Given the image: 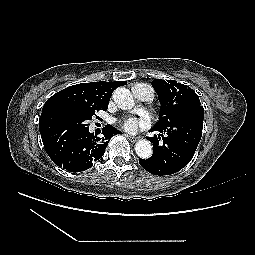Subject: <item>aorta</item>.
<instances>
[{
    "label": "aorta",
    "instance_id": "1",
    "mask_svg": "<svg viewBox=\"0 0 255 255\" xmlns=\"http://www.w3.org/2000/svg\"><path fill=\"white\" fill-rule=\"evenodd\" d=\"M113 99L119 108L129 110L134 106V99L131 92L125 87H118L113 93ZM135 151L142 159H148L152 156V145L148 140L142 139L136 142Z\"/></svg>",
    "mask_w": 255,
    "mask_h": 255
}]
</instances>
